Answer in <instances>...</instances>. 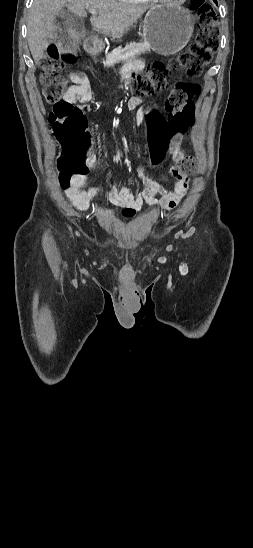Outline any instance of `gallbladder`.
Listing matches in <instances>:
<instances>
[{"instance_id":"bac80fb5","label":"gallbladder","mask_w":253,"mask_h":548,"mask_svg":"<svg viewBox=\"0 0 253 548\" xmlns=\"http://www.w3.org/2000/svg\"><path fill=\"white\" fill-rule=\"evenodd\" d=\"M68 14H69V13H68L67 11H64V10L58 12V16H60V17H65V16H67Z\"/></svg>"}]
</instances>
